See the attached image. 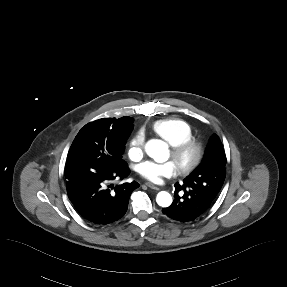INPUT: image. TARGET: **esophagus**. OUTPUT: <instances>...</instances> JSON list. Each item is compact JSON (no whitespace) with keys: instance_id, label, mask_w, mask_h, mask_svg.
Listing matches in <instances>:
<instances>
[{"instance_id":"obj_1","label":"esophagus","mask_w":287,"mask_h":287,"mask_svg":"<svg viewBox=\"0 0 287 287\" xmlns=\"http://www.w3.org/2000/svg\"><path fill=\"white\" fill-rule=\"evenodd\" d=\"M146 185H147L149 188L153 189V190H156V191H159V190H160L159 187L155 186L154 184H152V183H150V182H147Z\"/></svg>"}]
</instances>
